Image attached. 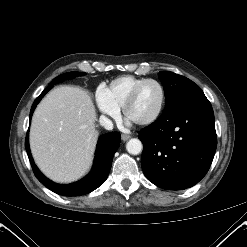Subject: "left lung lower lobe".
I'll use <instances>...</instances> for the list:
<instances>
[{
  "instance_id": "obj_1",
  "label": "left lung lower lobe",
  "mask_w": 247,
  "mask_h": 247,
  "mask_svg": "<svg viewBox=\"0 0 247 247\" xmlns=\"http://www.w3.org/2000/svg\"><path fill=\"white\" fill-rule=\"evenodd\" d=\"M141 166L158 187L183 190L207 173L216 147L214 113L203 92L185 96L139 132Z\"/></svg>"
}]
</instances>
